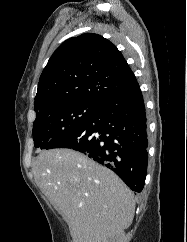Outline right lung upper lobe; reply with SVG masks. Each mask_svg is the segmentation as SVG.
Masks as SVG:
<instances>
[{
  "label": "right lung upper lobe",
  "mask_w": 187,
  "mask_h": 242,
  "mask_svg": "<svg viewBox=\"0 0 187 242\" xmlns=\"http://www.w3.org/2000/svg\"><path fill=\"white\" fill-rule=\"evenodd\" d=\"M137 88L121 52L102 36L87 33L55 50L40 76L34 108L39 115L73 102L102 105Z\"/></svg>",
  "instance_id": "right-lung-upper-lobe-1"
}]
</instances>
